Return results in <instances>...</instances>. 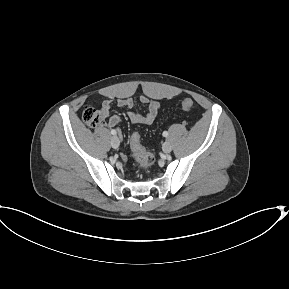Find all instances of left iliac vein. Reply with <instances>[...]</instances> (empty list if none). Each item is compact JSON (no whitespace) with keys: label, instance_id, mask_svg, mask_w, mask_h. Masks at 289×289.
Wrapping results in <instances>:
<instances>
[{"label":"left iliac vein","instance_id":"obj_1","mask_svg":"<svg viewBox=\"0 0 289 289\" xmlns=\"http://www.w3.org/2000/svg\"><path fill=\"white\" fill-rule=\"evenodd\" d=\"M162 149L165 153H170L172 151V146L168 141H166L164 142Z\"/></svg>","mask_w":289,"mask_h":289}]
</instances>
